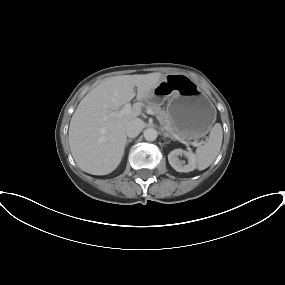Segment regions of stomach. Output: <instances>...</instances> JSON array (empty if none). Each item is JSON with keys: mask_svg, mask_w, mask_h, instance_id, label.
I'll use <instances>...</instances> for the list:
<instances>
[{"mask_svg": "<svg viewBox=\"0 0 285 285\" xmlns=\"http://www.w3.org/2000/svg\"><path fill=\"white\" fill-rule=\"evenodd\" d=\"M168 99L166 111L180 136L198 139L205 136L216 120V109L206 93L189 76L162 77L146 101L159 104Z\"/></svg>", "mask_w": 285, "mask_h": 285, "instance_id": "obj_1", "label": "stomach"}]
</instances>
